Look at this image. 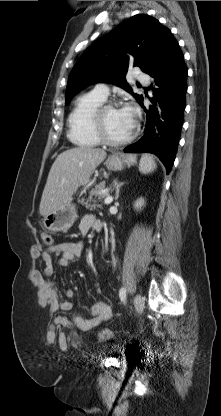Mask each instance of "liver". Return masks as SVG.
<instances>
[{"label":"liver","instance_id":"liver-1","mask_svg":"<svg viewBox=\"0 0 221 416\" xmlns=\"http://www.w3.org/2000/svg\"><path fill=\"white\" fill-rule=\"evenodd\" d=\"M106 156L104 150L89 147L72 148L59 154L42 193L40 215L46 216L65 205Z\"/></svg>","mask_w":221,"mask_h":416}]
</instances>
